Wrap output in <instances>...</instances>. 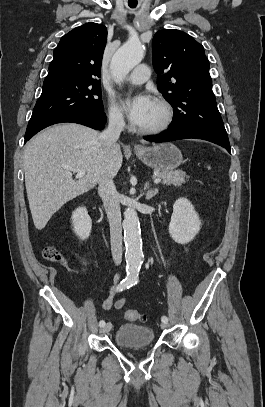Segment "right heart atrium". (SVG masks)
<instances>
[{
    "instance_id": "right-heart-atrium-1",
    "label": "right heart atrium",
    "mask_w": 265,
    "mask_h": 407,
    "mask_svg": "<svg viewBox=\"0 0 265 407\" xmlns=\"http://www.w3.org/2000/svg\"><path fill=\"white\" fill-rule=\"evenodd\" d=\"M108 121L109 123L116 127V128H124L126 123H125V118L123 113L120 111V109L111 103L108 107Z\"/></svg>"
}]
</instances>
